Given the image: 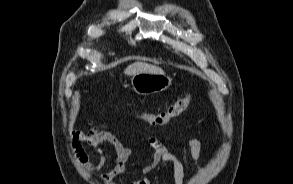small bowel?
<instances>
[{
	"mask_svg": "<svg viewBox=\"0 0 293 184\" xmlns=\"http://www.w3.org/2000/svg\"><path fill=\"white\" fill-rule=\"evenodd\" d=\"M90 128L87 131L74 130L71 133V148L75 153L79 165L89 171L93 166L101 169L106 164V155L102 148V143L111 145L115 151V162L113 167L100 178L101 182L106 184L112 181L116 176L127 171V164L133 156V151L124 147L119 139L111 132L107 131V126L103 122L91 121ZM148 144L153 150L152 159L139 167V177L132 180L129 184H151L148 177L149 173L159 167L161 164L169 163L172 165L174 184H183L185 170L183 163L171 153L166 146L154 135L148 137ZM88 146L96 151L99 156L98 161L93 164L85 149ZM189 152L191 159L195 163L199 172L204 173V167L199 163L202 143L199 138H192L189 143Z\"/></svg>",
	"mask_w": 293,
	"mask_h": 184,
	"instance_id": "small-bowel-1",
	"label": "small bowel"
}]
</instances>
